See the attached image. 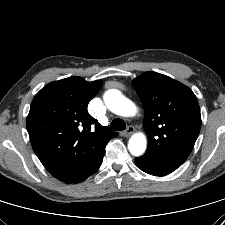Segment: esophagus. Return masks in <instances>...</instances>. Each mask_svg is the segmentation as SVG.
I'll return each mask as SVG.
<instances>
[{
  "label": "esophagus",
  "instance_id": "1",
  "mask_svg": "<svg viewBox=\"0 0 225 225\" xmlns=\"http://www.w3.org/2000/svg\"><path fill=\"white\" fill-rule=\"evenodd\" d=\"M135 131V128L133 126H128L126 131L124 132V136H130L131 134H133Z\"/></svg>",
  "mask_w": 225,
  "mask_h": 225
}]
</instances>
